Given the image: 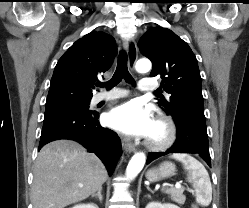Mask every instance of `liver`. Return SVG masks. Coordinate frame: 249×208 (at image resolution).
<instances>
[{
  "mask_svg": "<svg viewBox=\"0 0 249 208\" xmlns=\"http://www.w3.org/2000/svg\"><path fill=\"white\" fill-rule=\"evenodd\" d=\"M33 175V208H64L83 201L98 191L108 177L95 154L65 139L48 143L40 150Z\"/></svg>",
  "mask_w": 249,
  "mask_h": 208,
  "instance_id": "liver-1",
  "label": "liver"
}]
</instances>
